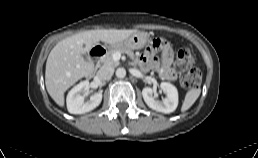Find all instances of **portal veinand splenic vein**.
<instances>
[{"label":"portal vein and splenic vein","mask_w":258,"mask_h":158,"mask_svg":"<svg viewBox=\"0 0 258 158\" xmlns=\"http://www.w3.org/2000/svg\"><path fill=\"white\" fill-rule=\"evenodd\" d=\"M120 57H121V53L120 52H116V53L113 54V59L114 60H119Z\"/></svg>","instance_id":"portal-vein-and-splenic-vein-1"}]
</instances>
